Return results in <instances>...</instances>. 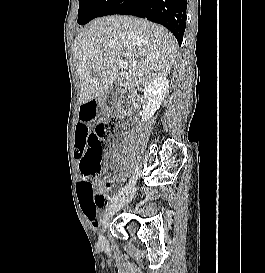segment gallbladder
<instances>
[{"label": "gallbladder", "instance_id": "bac80fb5", "mask_svg": "<svg viewBox=\"0 0 265 273\" xmlns=\"http://www.w3.org/2000/svg\"><path fill=\"white\" fill-rule=\"evenodd\" d=\"M119 95V85L117 82H114L113 85L109 87L108 93L105 95L104 100L108 101V105H111L118 100Z\"/></svg>", "mask_w": 265, "mask_h": 273}]
</instances>
